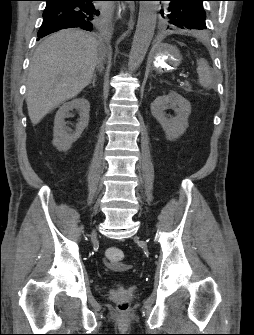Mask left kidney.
Instances as JSON below:
<instances>
[{
    "label": "left kidney",
    "instance_id": "1",
    "mask_svg": "<svg viewBox=\"0 0 254 335\" xmlns=\"http://www.w3.org/2000/svg\"><path fill=\"white\" fill-rule=\"evenodd\" d=\"M169 107L176 109V116L168 118L165 110ZM152 116L161 124L166 138L170 141L179 138L188 127V117L191 113V104L175 91L168 95L158 96L151 103Z\"/></svg>",
    "mask_w": 254,
    "mask_h": 335
}]
</instances>
